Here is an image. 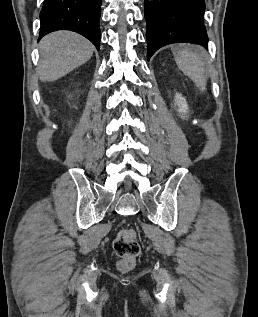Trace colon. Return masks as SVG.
Wrapping results in <instances>:
<instances>
[{"mask_svg": "<svg viewBox=\"0 0 258 317\" xmlns=\"http://www.w3.org/2000/svg\"><path fill=\"white\" fill-rule=\"evenodd\" d=\"M113 248L119 258L118 266L120 269L132 267L141 252L136 233L132 229L121 230L114 240Z\"/></svg>", "mask_w": 258, "mask_h": 317, "instance_id": "5ec220e1", "label": "colon"}]
</instances>
